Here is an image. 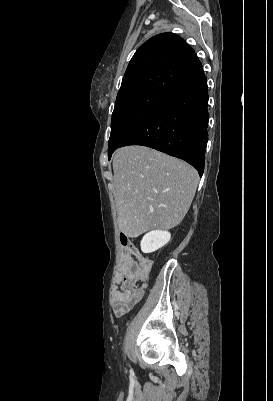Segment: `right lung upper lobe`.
Wrapping results in <instances>:
<instances>
[{
	"label": "right lung upper lobe",
	"mask_w": 273,
	"mask_h": 401,
	"mask_svg": "<svg viewBox=\"0 0 273 401\" xmlns=\"http://www.w3.org/2000/svg\"><path fill=\"white\" fill-rule=\"evenodd\" d=\"M202 73V65L190 45L174 33H162L135 52L117 99L140 92L167 95Z\"/></svg>",
	"instance_id": "obj_1"
}]
</instances>
